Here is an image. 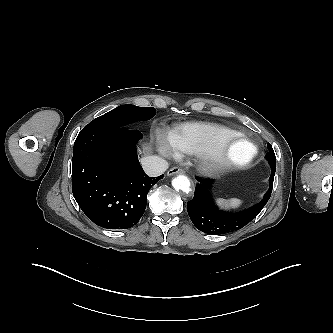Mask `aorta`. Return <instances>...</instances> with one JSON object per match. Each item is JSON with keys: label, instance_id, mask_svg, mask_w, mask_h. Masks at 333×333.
<instances>
[{"label": "aorta", "instance_id": "1", "mask_svg": "<svg viewBox=\"0 0 333 333\" xmlns=\"http://www.w3.org/2000/svg\"><path fill=\"white\" fill-rule=\"evenodd\" d=\"M172 186L176 191H183L189 193L191 191L190 180L185 175H178L172 180Z\"/></svg>", "mask_w": 333, "mask_h": 333}]
</instances>
